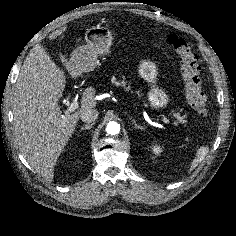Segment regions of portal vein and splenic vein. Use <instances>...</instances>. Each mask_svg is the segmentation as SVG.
<instances>
[{
  "instance_id": "18ae733b",
  "label": "portal vein and splenic vein",
  "mask_w": 236,
  "mask_h": 236,
  "mask_svg": "<svg viewBox=\"0 0 236 236\" xmlns=\"http://www.w3.org/2000/svg\"><path fill=\"white\" fill-rule=\"evenodd\" d=\"M78 108H79V102L76 99H73V101L71 102L70 106L64 111V114H69L71 112H74ZM161 120L165 124H170L169 119H167L165 116H161Z\"/></svg>"
}]
</instances>
